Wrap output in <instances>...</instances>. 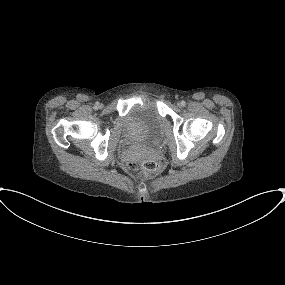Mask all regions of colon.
I'll return each instance as SVG.
<instances>
[{
	"instance_id": "5ec220e1",
	"label": "colon",
	"mask_w": 285,
	"mask_h": 285,
	"mask_svg": "<svg viewBox=\"0 0 285 285\" xmlns=\"http://www.w3.org/2000/svg\"><path fill=\"white\" fill-rule=\"evenodd\" d=\"M129 168L133 170L140 169L144 174L148 175L157 172L160 168V165L154 159H147L142 161L141 163L130 162Z\"/></svg>"
}]
</instances>
